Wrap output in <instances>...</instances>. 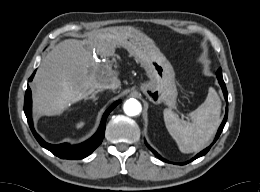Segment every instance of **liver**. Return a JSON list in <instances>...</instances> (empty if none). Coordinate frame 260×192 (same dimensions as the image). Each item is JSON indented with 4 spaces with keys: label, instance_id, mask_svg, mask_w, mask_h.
<instances>
[{
    "label": "liver",
    "instance_id": "6515ba94",
    "mask_svg": "<svg viewBox=\"0 0 260 192\" xmlns=\"http://www.w3.org/2000/svg\"><path fill=\"white\" fill-rule=\"evenodd\" d=\"M115 29L99 30L87 40H64L45 56L32 87L33 106L39 115L61 114L102 84L117 78L108 65L93 56L94 48L101 57L114 54Z\"/></svg>",
    "mask_w": 260,
    "mask_h": 192
}]
</instances>
